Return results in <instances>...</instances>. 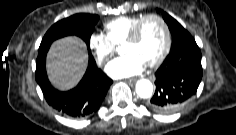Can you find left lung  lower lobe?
I'll return each instance as SVG.
<instances>
[{
  "mask_svg": "<svg viewBox=\"0 0 236 135\" xmlns=\"http://www.w3.org/2000/svg\"><path fill=\"white\" fill-rule=\"evenodd\" d=\"M170 31L177 46L156 71V91L149 102L153 111L162 114L172 113L189 101L196 94L203 74L201 51L196 42L183 41L185 30L179 23Z\"/></svg>",
  "mask_w": 236,
  "mask_h": 135,
  "instance_id": "0a47b994",
  "label": "left lung lower lobe"
}]
</instances>
